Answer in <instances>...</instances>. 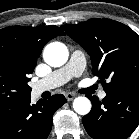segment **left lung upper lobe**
Returning a JSON list of instances; mask_svg holds the SVG:
<instances>
[{"label": "left lung upper lobe", "instance_id": "left-lung-upper-lobe-1", "mask_svg": "<svg viewBox=\"0 0 139 139\" xmlns=\"http://www.w3.org/2000/svg\"><path fill=\"white\" fill-rule=\"evenodd\" d=\"M61 27L90 55L106 94L139 84V35L131 28L109 19Z\"/></svg>", "mask_w": 139, "mask_h": 139}]
</instances>
